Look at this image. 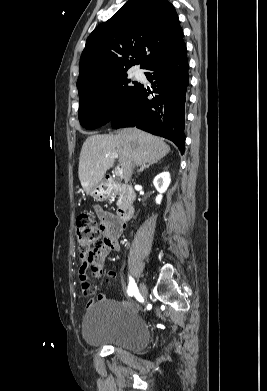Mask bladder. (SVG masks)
I'll return each mask as SVG.
<instances>
[{"instance_id": "31cf9c89", "label": "bladder", "mask_w": 267, "mask_h": 391, "mask_svg": "<svg viewBox=\"0 0 267 391\" xmlns=\"http://www.w3.org/2000/svg\"><path fill=\"white\" fill-rule=\"evenodd\" d=\"M84 341L91 346H112L140 352L150 339L145 320L118 300L94 304L85 314L82 325Z\"/></svg>"}]
</instances>
